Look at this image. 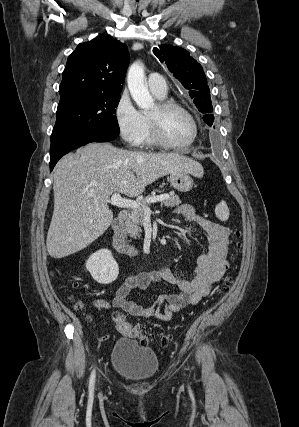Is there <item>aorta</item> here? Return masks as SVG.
Segmentation results:
<instances>
[{
	"label": "aorta",
	"instance_id": "obj_1",
	"mask_svg": "<svg viewBox=\"0 0 299 427\" xmlns=\"http://www.w3.org/2000/svg\"><path fill=\"white\" fill-rule=\"evenodd\" d=\"M127 83L130 94L140 109L148 110L154 107V100L146 85L144 65L140 61L130 66Z\"/></svg>",
	"mask_w": 299,
	"mask_h": 427
}]
</instances>
